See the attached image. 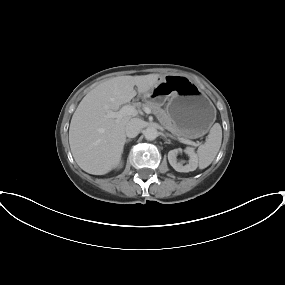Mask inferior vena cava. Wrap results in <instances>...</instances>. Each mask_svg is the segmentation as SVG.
I'll use <instances>...</instances> for the list:
<instances>
[{
    "mask_svg": "<svg viewBox=\"0 0 285 285\" xmlns=\"http://www.w3.org/2000/svg\"><path fill=\"white\" fill-rule=\"evenodd\" d=\"M143 128V121L137 118H133L126 125L125 133L129 138L136 137Z\"/></svg>",
    "mask_w": 285,
    "mask_h": 285,
    "instance_id": "1",
    "label": "inferior vena cava"
}]
</instances>
